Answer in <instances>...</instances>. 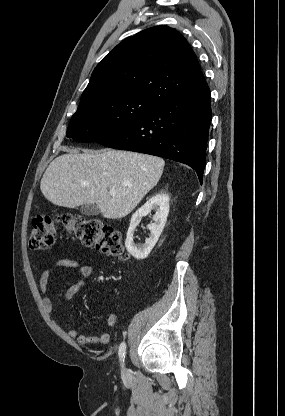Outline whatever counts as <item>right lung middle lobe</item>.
<instances>
[{
  "instance_id": "1",
  "label": "right lung middle lobe",
  "mask_w": 285,
  "mask_h": 416,
  "mask_svg": "<svg viewBox=\"0 0 285 416\" xmlns=\"http://www.w3.org/2000/svg\"><path fill=\"white\" fill-rule=\"evenodd\" d=\"M158 106L150 100L131 96L77 109L66 136L77 142H97L131 126Z\"/></svg>"
}]
</instances>
